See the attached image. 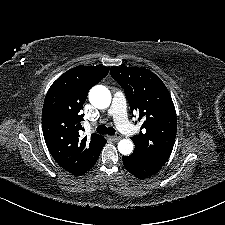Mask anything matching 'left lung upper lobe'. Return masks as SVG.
Instances as JSON below:
<instances>
[{
  "mask_svg": "<svg viewBox=\"0 0 225 225\" xmlns=\"http://www.w3.org/2000/svg\"><path fill=\"white\" fill-rule=\"evenodd\" d=\"M110 74L125 90L132 113L143 122L140 134L131 137L133 153L164 165L177 132L176 111L168 89L158 76L144 68L112 66Z\"/></svg>",
  "mask_w": 225,
  "mask_h": 225,
  "instance_id": "obj_1",
  "label": "left lung upper lobe"
}]
</instances>
